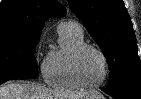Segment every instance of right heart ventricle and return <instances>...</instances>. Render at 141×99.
Here are the masks:
<instances>
[{
    "instance_id": "e07e8e85",
    "label": "right heart ventricle",
    "mask_w": 141,
    "mask_h": 99,
    "mask_svg": "<svg viewBox=\"0 0 141 99\" xmlns=\"http://www.w3.org/2000/svg\"><path fill=\"white\" fill-rule=\"evenodd\" d=\"M60 48L51 52L43 64L45 82L59 90L73 91L82 88L72 72V55L84 43L83 35L59 33Z\"/></svg>"
}]
</instances>
